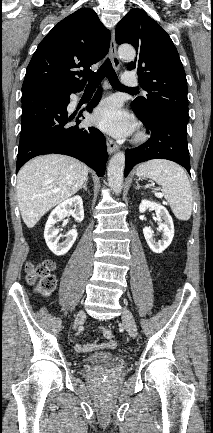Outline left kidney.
Listing matches in <instances>:
<instances>
[{"mask_svg":"<svg viewBox=\"0 0 213 433\" xmlns=\"http://www.w3.org/2000/svg\"><path fill=\"white\" fill-rule=\"evenodd\" d=\"M148 208L155 210L157 220L159 221V228L163 232V237L161 240L156 242L153 238V231L148 227L143 228V234L150 249L154 253H162L171 244L173 240L174 237L173 220L168 210L161 204H157L156 202H152L148 200H142L139 206V212L144 213Z\"/></svg>","mask_w":213,"mask_h":433,"instance_id":"5707ae66","label":"left kidney"}]
</instances>
